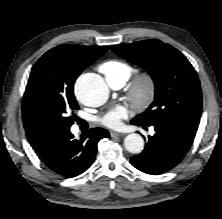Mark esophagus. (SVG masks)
<instances>
[{"label":"esophagus","instance_id":"1","mask_svg":"<svg viewBox=\"0 0 222 219\" xmlns=\"http://www.w3.org/2000/svg\"><path fill=\"white\" fill-rule=\"evenodd\" d=\"M110 135H111V137H120V136H123L122 133H118V132H114V131H111V132H110Z\"/></svg>","mask_w":222,"mask_h":219}]
</instances>
